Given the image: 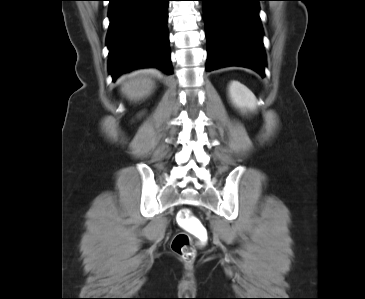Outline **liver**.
Masks as SVG:
<instances>
[{
  "label": "liver",
  "mask_w": 365,
  "mask_h": 299,
  "mask_svg": "<svg viewBox=\"0 0 365 299\" xmlns=\"http://www.w3.org/2000/svg\"><path fill=\"white\" fill-rule=\"evenodd\" d=\"M154 71L140 70L123 78L121 91L131 101H139L151 95L155 83Z\"/></svg>",
  "instance_id": "liver-1"
}]
</instances>
